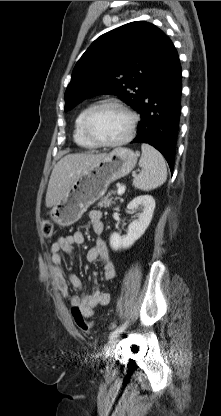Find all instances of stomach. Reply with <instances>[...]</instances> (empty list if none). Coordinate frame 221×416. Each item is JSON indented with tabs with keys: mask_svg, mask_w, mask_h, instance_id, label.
I'll return each mask as SVG.
<instances>
[{
	"mask_svg": "<svg viewBox=\"0 0 221 416\" xmlns=\"http://www.w3.org/2000/svg\"><path fill=\"white\" fill-rule=\"evenodd\" d=\"M137 163V154L129 148H115L84 170L50 212L60 226H70L107 191L109 185L127 175Z\"/></svg>",
	"mask_w": 221,
	"mask_h": 416,
	"instance_id": "0dacf381",
	"label": "stomach"
}]
</instances>
